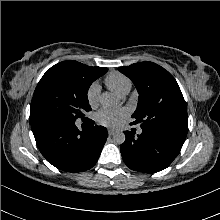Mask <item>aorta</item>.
Returning a JSON list of instances; mask_svg holds the SVG:
<instances>
[{
  "label": "aorta",
  "instance_id": "1",
  "mask_svg": "<svg viewBox=\"0 0 220 220\" xmlns=\"http://www.w3.org/2000/svg\"><path fill=\"white\" fill-rule=\"evenodd\" d=\"M100 103L103 107L109 108L116 105L118 103V99L112 94L103 93L100 96ZM125 139V134L121 131L115 132L113 134V141L116 144H123L125 142Z\"/></svg>",
  "mask_w": 220,
  "mask_h": 220
}]
</instances>
